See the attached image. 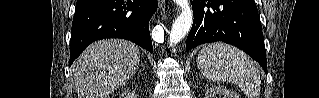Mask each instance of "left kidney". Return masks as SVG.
Returning a JSON list of instances; mask_svg holds the SVG:
<instances>
[{"label":"left kidney","mask_w":319,"mask_h":98,"mask_svg":"<svg viewBox=\"0 0 319 98\" xmlns=\"http://www.w3.org/2000/svg\"><path fill=\"white\" fill-rule=\"evenodd\" d=\"M221 96H224V98H239L236 92L227 90L224 86H212L205 93V98H221Z\"/></svg>","instance_id":"5707ae66"}]
</instances>
